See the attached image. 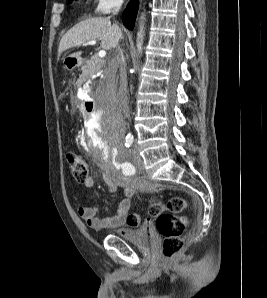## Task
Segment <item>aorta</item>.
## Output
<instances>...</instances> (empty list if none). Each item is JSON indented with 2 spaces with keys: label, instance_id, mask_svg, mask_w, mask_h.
I'll return each mask as SVG.
<instances>
[{
  "label": "aorta",
  "instance_id": "762f6f07",
  "mask_svg": "<svg viewBox=\"0 0 267 298\" xmlns=\"http://www.w3.org/2000/svg\"><path fill=\"white\" fill-rule=\"evenodd\" d=\"M142 43H143V25L140 26V31L138 33V38H137V50L139 53L142 51Z\"/></svg>",
  "mask_w": 267,
  "mask_h": 298
}]
</instances>
